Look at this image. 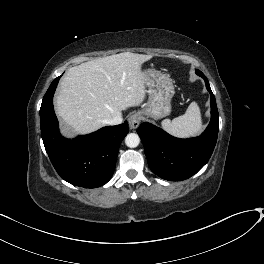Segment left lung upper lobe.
Returning a JSON list of instances; mask_svg holds the SVG:
<instances>
[{"mask_svg": "<svg viewBox=\"0 0 264 264\" xmlns=\"http://www.w3.org/2000/svg\"><path fill=\"white\" fill-rule=\"evenodd\" d=\"M196 73H202L201 71H199V70H196Z\"/></svg>", "mask_w": 264, "mask_h": 264, "instance_id": "obj_1", "label": "left lung upper lobe"}]
</instances>
